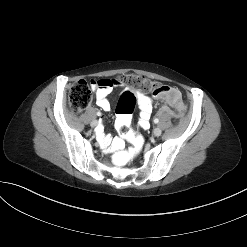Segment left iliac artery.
<instances>
[{"label": "left iliac artery", "instance_id": "obj_1", "mask_svg": "<svg viewBox=\"0 0 247 247\" xmlns=\"http://www.w3.org/2000/svg\"><path fill=\"white\" fill-rule=\"evenodd\" d=\"M159 120L157 118L154 119V123L157 124Z\"/></svg>", "mask_w": 247, "mask_h": 247}]
</instances>
